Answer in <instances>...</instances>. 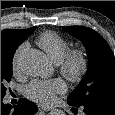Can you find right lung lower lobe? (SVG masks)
<instances>
[{
    "label": "right lung lower lobe",
    "mask_w": 115,
    "mask_h": 115,
    "mask_svg": "<svg viewBox=\"0 0 115 115\" xmlns=\"http://www.w3.org/2000/svg\"><path fill=\"white\" fill-rule=\"evenodd\" d=\"M3 98H1V115H33L37 112V106L35 103L21 98L19 103L14 106L10 104H4Z\"/></svg>",
    "instance_id": "right-lung-lower-lobe-1"
}]
</instances>
